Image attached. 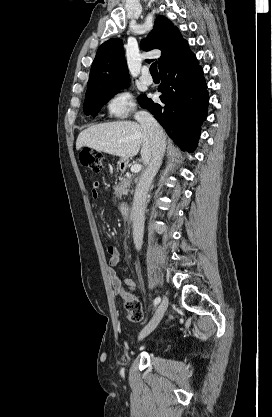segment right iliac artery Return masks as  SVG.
Returning <instances> with one entry per match:
<instances>
[{"instance_id":"obj_1","label":"right iliac artery","mask_w":272,"mask_h":417,"mask_svg":"<svg viewBox=\"0 0 272 417\" xmlns=\"http://www.w3.org/2000/svg\"><path fill=\"white\" fill-rule=\"evenodd\" d=\"M160 301H161L160 297L155 298L154 305L155 306L158 305L160 303Z\"/></svg>"}]
</instances>
